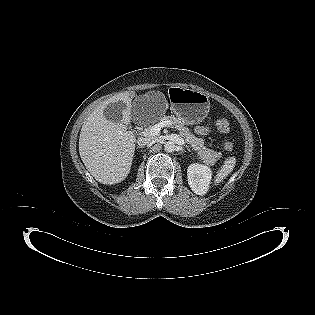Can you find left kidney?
Wrapping results in <instances>:
<instances>
[{"instance_id": "1", "label": "left kidney", "mask_w": 315, "mask_h": 315, "mask_svg": "<svg viewBox=\"0 0 315 315\" xmlns=\"http://www.w3.org/2000/svg\"><path fill=\"white\" fill-rule=\"evenodd\" d=\"M188 184L197 195H204L209 190L212 171L202 164H191L187 169Z\"/></svg>"}]
</instances>
